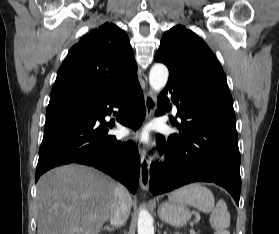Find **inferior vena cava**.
Returning <instances> with one entry per match:
<instances>
[{"mask_svg": "<svg viewBox=\"0 0 279 234\" xmlns=\"http://www.w3.org/2000/svg\"><path fill=\"white\" fill-rule=\"evenodd\" d=\"M131 202L128 190L122 185H117L110 214V223L112 225L119 227L125 224L130 213Z\"/></svg>", "mask_w": 279, "mask_h": 234, "instance_id": "1", "label": "inferior vena cava"}]
</instances>
